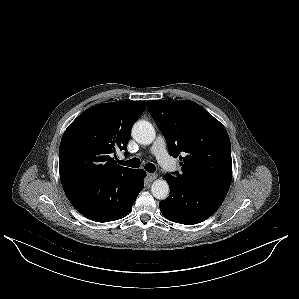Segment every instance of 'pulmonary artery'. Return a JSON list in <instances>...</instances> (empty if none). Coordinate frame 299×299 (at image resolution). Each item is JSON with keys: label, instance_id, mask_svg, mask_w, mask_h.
Listing matches in <instances>:
<instances>
[{"label": "pulmonary artery", "instance_id": "obj_1", "mask_svg": "<svg viewBox=\"0 0 299 299\" xmlns=\"http://www.w3.org/2000/svg\"><path fill=\"white\" fill-rule=\"evenodd\" d=\"M151 153L157 158L160 165L167 171H173L176 168L174 161L170 158L166 150L164 138L159 135L150 148Z\"/></svg>", "mask_w": 299, "mask_h": 299}]
</instances>
